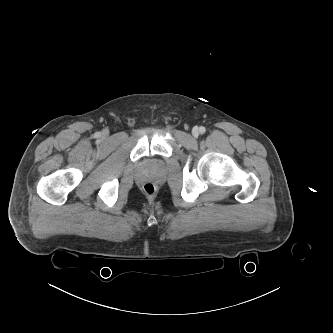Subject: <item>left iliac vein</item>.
<instances>
[{"mask_svg": "<svg viewBox=\"0 0 333 333\" xmlns=\"http://www.w3.org/2000/svg\"><path fill=\"white\" fill-rule=\"evenodd\" d=\"M192 134H193L194 137H198V135H199V130H198V128H194V129L192 130Z\"/></svg>", "mask_w": 333, "mask_h": 333, "instance_id": "obj_1", "label": "left iliac vein"}]
</instances>
